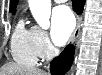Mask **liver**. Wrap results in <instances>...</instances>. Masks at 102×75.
Wrapping results in <instances>:
<instances>
[{
	"label": "liver",
	"mask_w": 102,
	"mask_h": 75,
	"mask_svg": "<svg viewBox=\"0 0 102 75\" xmlns=\"http://www.w3.org/2000/svg\"><path fill=\"white\" fill-rule=\"evenodd\" d=\"M0 75H46V72L35 67L7 63L0 68Z\"/></svg>",
	"instance_id": "1"
}]
</instances>
